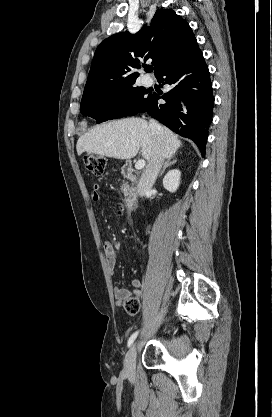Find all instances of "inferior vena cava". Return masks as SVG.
Segmentation results:
<instances>
[{"label":"inferior vena cava","instance_id":"obj_1","mask_svg":"<svg viewBox=\"0 0 272 417\" xmlns=\"http://www.w3.org/2000/svg\"><path fill=\"white\" fill-rule=\"evenodd\" d=\"M149 126L153 133L154 146L148 165L137 185V191L141 197L145 196L153 187L165 159L162 127L154 120H150Z\"/></svg>","mask_w":272,"mask_h":417}]
</instances>
